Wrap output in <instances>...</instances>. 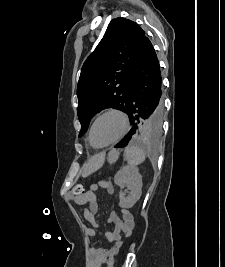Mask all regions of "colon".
<instances>
[{
  "label": "colon",
  "instance_id": "1",
  "mask_svg": "<svg viewBox=\"0 0 225 267\" xmlns=\"http://www.w3.org/2000/svg\"><path fill=\"white\" fill-rule=\"evenodd\" d=\"M83 193H84L83 185L78 184V185L74 186V188H73V194L74 195L81 196V195H83ZM107 267H113V260L112 259L108 260Z\"/></svg>",
  "mask_w": 225,
  "mask_h": 267
}]
</instances>
